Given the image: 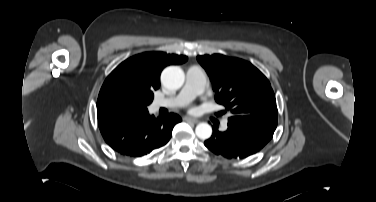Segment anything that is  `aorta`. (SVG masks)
<instances>
[{"mask_svg": "<svg viewBox=\"0 0 376 202\" xmlns=\"http://www.w3.org/2000/svg\"><path fill=\"white\" fill-rule=\"evenodd\" d=\"M161 80L167 88L179 89L184 83L185 74L180 67L170 66L163 70ZM195 133L199 139L206 140L210 138L212 128L208 123H199L196 126Z\"/></svg>", "mask_w": 376, "mask_h": 202, "instance_id": "aorta-1", "label": "aorta"}]
</instances>
